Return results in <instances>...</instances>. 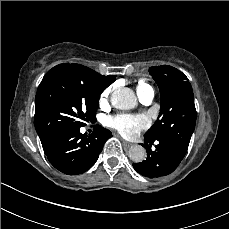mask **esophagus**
<instances>
[{
  "instance_id": "esophagus-1",
  "label": "esophagus",
  "mask_w": 229,
  "mask_h": 229,
  "mask_svg": "<svg viewBox=\"0 0 229 229\" xmlns=\"http://www.w3.org/2000/svg\"><path fill=\"white\" fill-rule=\"evenodd\" d=\"M122 142H123V145L126 149L131 148L133 146V143H131V142H128L125 140H122Z\"/></svg>"
}]
</instances>
